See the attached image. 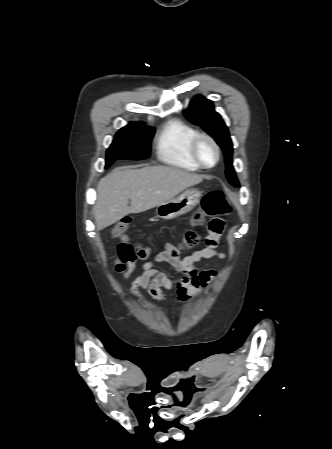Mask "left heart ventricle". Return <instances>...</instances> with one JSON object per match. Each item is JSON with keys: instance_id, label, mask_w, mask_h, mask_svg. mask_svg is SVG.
<instances>
[{"instance_id": "obj_1", "label": "left heart ventricle", "mask_w": 332, "mask_h": 449, "mask_svg": "<svg viewBox=\"0 0 332 449\" xmlns=\"http://www.w3.org/2000/svg\"><path fill=\"white\" fill-rule=\"evenodd\" d=\"M198 153L205 164H212L215 161V151L212 145L207 141H201L198 146Z\"/></svg>"}]
</instances>
